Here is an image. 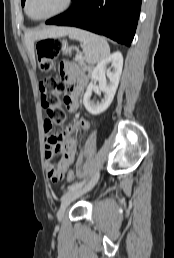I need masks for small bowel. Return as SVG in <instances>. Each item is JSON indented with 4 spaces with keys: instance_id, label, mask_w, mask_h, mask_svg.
I'll use <instances>...</instances> for the list:
<instances>
[{
    "instance_id": "1",
    "label": "small bowel",
    "mask_w": 174,
    "mask_h": 258,
    "mask_svg": "<svg viewBox=\"0 0 174 258\" xmlns=\"http://www.w3.org/2000/svg\"><path fill=\"white\" fill-rule=\"evenodd\" d=\"M60 76L73 86L72 93L66 103L71 110H75L78 106L75 101L87 82L86 75L80 70L75 62L64 61L60 65ZM92 118H80L71 126L72 129L80 127H90ZM51 125L46 121L44 123L45 132V158L47 161L48 174L50 183H63V175L68 173L69 166L73 163L77 141L73 138L60 139L58 136L51 135ZM59 151H64L62 162H54L55 154ZM66 170V171H65ZM75 177V176H74Z\"/></svg>"
}]
</instances>
